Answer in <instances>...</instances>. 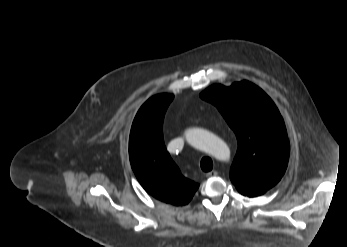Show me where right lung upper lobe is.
I'll use <instances>...</instances> for the list:
<instances>
[{
    "instance_id": "obj_1",
    "label": "right lung upper lobe",
    "mask_w": 347,
    "mask_h": 247,
    "mask_svg": "<svg viewBox=\"0 0 347 247\" xmlns=\"http://www.w3.org/2000/svg\"><path fill=\"white\" fill-rule=\"evenodd\" d=\"M173 95L159 94L137 112L129 138L132 169L142 187L156 199L186 205L199 185L185 178L167 152L162 133L164 114Z\"/></svg>"
}]
</instances>
